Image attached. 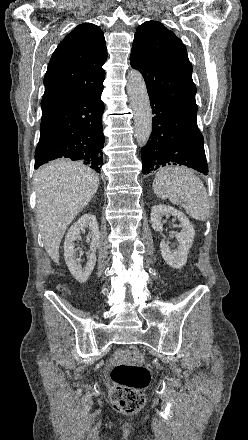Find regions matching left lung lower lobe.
<instances>
[{
  "label": "left lung lower lobe",
  "mask_w": 248,
  "mask_h": 440,
  "mask_svg": "<svg viewBox=\"0 0 248 440\" xmlns=\"http://www.w3.org/2000/svg\"><path fill=\"white\" fill-rule=\"evenodd\" d=\"M153 114L151 139L142 148V173L168 165H185L207 175L203 136L197 122L160 98L149 95Z\"/></svg>",
  "instance_id": "left-lung-lower-lobe-1"
}]
</instances>
